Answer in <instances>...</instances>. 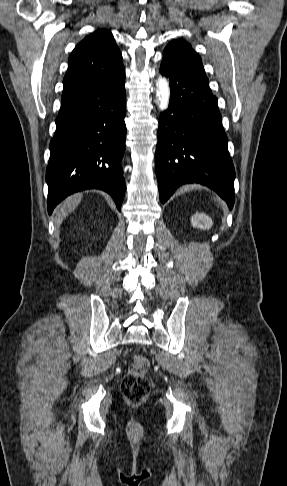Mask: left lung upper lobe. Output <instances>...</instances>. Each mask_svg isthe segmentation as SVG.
Segmentation results:
<instances>
[{
    "label": "left lung upper lobe",
    "mask_w": 287,
    "mask_h": 486,
    "mask_svg": "<svg viewBox=\"0 0 287 486\" xmlns=\"http://www.w3.org/2000/svg\"><path fill=\"white\" fill-rule=\"evenodd\" d=\"M163 57L194 76L208 82L201 57L192 49L189 43L182 40L171 41L164 49Z\"/></svg>",
    "instance_id": "5c2ea615"
}]
</instances>
